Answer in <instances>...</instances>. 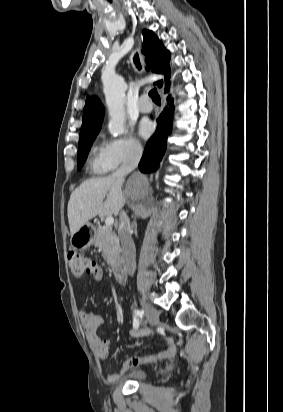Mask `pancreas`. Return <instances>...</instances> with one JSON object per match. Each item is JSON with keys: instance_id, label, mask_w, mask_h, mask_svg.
I'll return each mask as SVG.
<instances>
[{"instance_id": "pancreas-1", "label": "pancreas", "mask_w": 283, "mask_h": 412, "mask_svg": "<svg viewBox=\"0 0 283 412\" xmlns=\"http://www.w3.org/2000/svg\"><path fill=\"white\" fill-rule=\"evenodd\" d=\"M95 245L102 250V257L107 264L114 266L120 255V244L110 227H98L95 231Z\"/></svg>"}]
</instances>
